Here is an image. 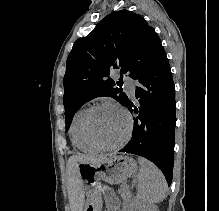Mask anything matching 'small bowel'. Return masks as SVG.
<instances>
[{"label":"small bowel","mask_w":219,"mask_h":211,"mask_svg":"<svg viewBox=\"0 0 219 211\" xmlns=\"http://www.w3.org/2000/svg\"><path fill=\"white\" fill-rule=\"evenodd\" d=\"M107 209L106 211H119V203L115 195L108 191L106 194Z\"/></svg>","instance_id":"1"}]
</instances>
